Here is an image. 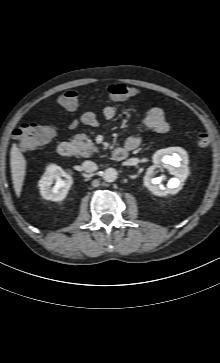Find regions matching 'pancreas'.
<instances>
[{"label": "pancreas", "mask_w": 220, "mask_h": 363, "mask_svg": "<svg viewBox=\"0 0 220 363\" xmlns=\"http://www.w3.org/2000/svg\"><path fill=\"white\" fill-rule=\"evenodd\" d=\"M73 143L77 146L78 154L82 157H90L94 152H98V148L85 134L76 135Z\"/></svg>", "instance_id": "obj_1"}]
</instances>
